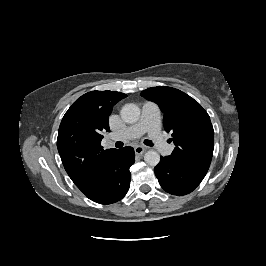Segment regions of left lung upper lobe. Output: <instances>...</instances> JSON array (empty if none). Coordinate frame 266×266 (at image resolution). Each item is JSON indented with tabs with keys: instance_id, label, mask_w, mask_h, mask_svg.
I'll return each instance as SVG.
<instances>
[{
	"instance_id": "left-lung-upper-lobe-1",
	"label": "left lung upper lobe",
	"mask_w": 266,
	"mask_h": 266,
	"mask_svg": "<svg viewBox=\"0 0 266 266\" xmlns=\"http://www.w3.org/2000/svg\"><path fill=\"white\" fill-rule=\"evenodd\" d=\"M141 96L159 105L164 129L172 133L175 149L170 157L180 164L210 166L214 130L207 112L186 93L166 86L152 87Z\"/></svg>"
}]
</instances>
